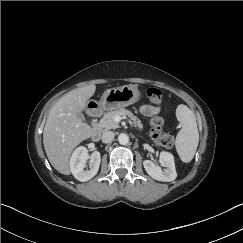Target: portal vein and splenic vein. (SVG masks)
Wrapping results in <instances>:
<instances>
[{"label":"portal vein and splenic vein","mask_w":243,"mask_h":243,"mask_svg":"<svg viewBox=\"0 0 243 243\" xmlns=\"http://www.w3.org/2000/svg\"><path fill=\"white\" fill-rule=\"evenodd\" d=\"M120 119H121V118H120L119 116H116V117H115V120H116L117 122H119Z\"/></svg>","instance_id":"obj_1"}]
</instances>
